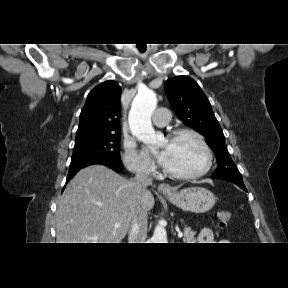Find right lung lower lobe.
Segmentation results:
<instances>
[{
	"mask_svg": "<svg viewBox=\"0 0 288 288\" xmlns=\"http://www.w3.org/2000/svg\"><path fill=\"white\" fill-rule=\"evenodd\" d=\"M92 164H102L105 165L107 167L112 168L113 170L117 171V172H121L123 170V165H116L113 164L105 159L102 158H92V159H87V160H83L81 162L75 163V164H70V168H69V172H68V176H67V180H66V184L69 182L70 179L73 178V176L83 167L88 166V165H92Z\"/></svg>",
	"mask_w": 288,
	"mask_h": 288,
	"instance_id": "1",
	"label": "right lung lower lobe"
}]
</instances>
